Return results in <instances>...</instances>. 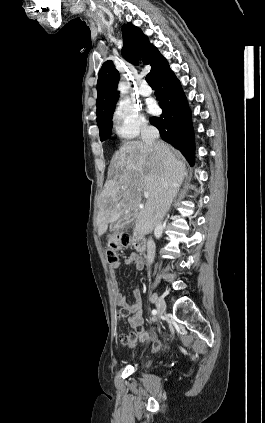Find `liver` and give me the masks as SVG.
<instances>
[{
  "instance_id": "liver-1",
  "label": "liver",
  "mask_w": 265,
  "mask_h": 423,
  "mask_svg": "<svg viewBox=\"0 0 265 423\" xmlns=\"http://www.w3.org/2000/svg\"><path fill=\"white\" fill-rule=\"evenodd\" d=\"M185 175L184 161L167 144L124 143L112 157L109 179L100 196L98 234H104L109 224L131 213L136 217L137 232L151 233L170 208ZM144 192L149 197L140 209Z\"/></svg>"
}]
</instances>
